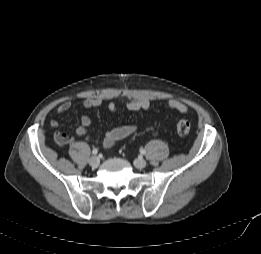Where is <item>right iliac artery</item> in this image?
<instances>
[{
    "instance_id": "obj_1",
    "label": "right iliac artery",
    "mask_w": 261,
    "mask_h": 254,
    "mask_svg": "<svg viewBox=\"0 0 261 254\" xmlns=\"http://www.w3.org/2000/svg\"><path fill=\"white\" fill-rule=\"evenodd\" d=\"M92 153H93L94 155H97L98 150H97L96 148H94V149L92 150Z\"/></svg>"
}]
</instances>
